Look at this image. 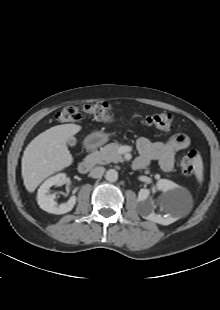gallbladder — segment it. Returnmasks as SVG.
<instances>
[{"mask_svg":"<svg viewBox=\"0 0 220 310\" xmlns=\"http://www.w3.org/2000/svg\"><path fill=\"white\" fill-rule=\"evenodd\" d=\"M77 143V140L75 137H70L68 140H67V144L71 147L75 146Z\"/></svg>","mask_w":220,"mask_h":310,"instance_id":"bac80fb5","label":"gallbladder"}]
</instances>
